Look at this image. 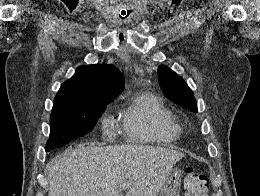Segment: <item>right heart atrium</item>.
Returning <instances> with one entry per match:
<instances>
[{
	"label": "right heart atrium",
	"instance_id": "right-heart-atrium-1",
	"mask_svg": "<svg viewBox=\"0 0 260 196\" xmlns=\"http://www.w3.org/2000/svg\"><path fill=\"white\" fill-rule=\"evenodd\" d=\"M102 128L105 132H108L113 128V124L108 118H104L102 122ZM127 192H150V190H127Z\"/></svg>",
	"mask_w": 260,
	"mask_h": 196
}]
</instances>
